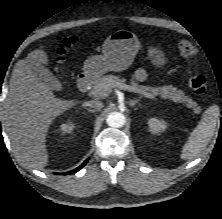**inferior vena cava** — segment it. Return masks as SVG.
<instances>
[{"instance_id":"602c4592","label":"inferior vena cava","mask_w":222,"mask_h":219,"mask_svg":"<svg viewBox=\"0 0 222 219\" xmlns=\"http://www.w3.org/2000/svg\"><path fill=\"white\" fill-rule=\"evenodd\" d=\"M83 106H89L91 108H95V109L99 110L103 107V103L101 101H98V100H90V101L84 102Z\"/></svg>"}]
</instances>
